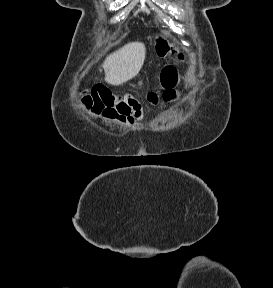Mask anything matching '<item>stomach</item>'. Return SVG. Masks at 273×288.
Returning <instances> with one entry per match:
<instances>
[{"instance_id":"0dacf381","label":"stomach","mask_w":273,"mask_h":288,"mask_svg":"<svg viewBox=\"0 0 273 288\" xmlns=\"http://www.w3.org/2000/svg\"><path fill=\"white\" fill-rule=\"evenodd\" d=\"M173 46L165 37H157L155 41L154 51L159 58H165L173 52Z\"/></svg>"}]
</instances>
